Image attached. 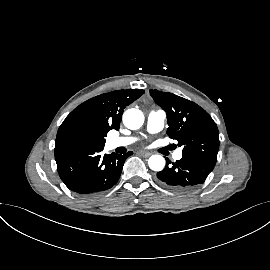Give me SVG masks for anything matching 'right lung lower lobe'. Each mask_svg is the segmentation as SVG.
<instances>
[{
    "label": "right lung lower lobe",
    "mask_w": 270,
    "mask_h": 270,
    "mask_svg": "<svg viewBox=\"0 0 270 270\" xmlns=\"http://www.w3.org/2000/svg\"><path fill=\"white\" fill-rule=\"evenodd\" d=\"M104 147L55 149L60 178L80 195L93 196L110 189L120 178L125 160L132 154H102Z\"/></svg>",
    "instance_id": "right-lung-lower-lobe-1"
}]
</instances>
